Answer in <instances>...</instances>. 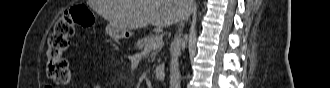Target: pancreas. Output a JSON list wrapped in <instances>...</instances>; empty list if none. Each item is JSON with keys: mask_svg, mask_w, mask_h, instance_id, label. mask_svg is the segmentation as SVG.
<instances>
[{"mask_svg": "<svg viewBox=\"0 0 330 88\" xmlns=\"http://www.w3.org/2000/svg\"><path fill=\"white\" fill-rule=\"evenodd\" d=\"M156 36L157 35L150 34V35L145 36L143 39H139L136 42L135 47L136 48H139V49H146V48H148L151 43H154L156 41ZM161 45L158 48L153 49V52H152V55L151 56H153L154 54H156L161 49Z\"/></svg>", "mask_w": 330, "mask_h": 88, "instance_id": "1", "label": "pancreas"}]
</instances>
